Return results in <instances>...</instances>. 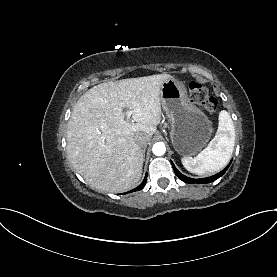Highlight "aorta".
<instances>
[{
    "mask_svg": "<svg viewBox=\"0 0 277 277\" xmlns=\"http://www.w3.org/2000/svg\"><path fill=\"white\" fill-rule=\"evenodd\" d=\"M153 154L156 156H161L166 152L165 144L162 142H157L153 145L152 148Z\"/></svg>",
    "mask_w": 277,
    "mask_h": 277,
    "instance_id": "1",
    "label": "aorta"
}]
</instances>
